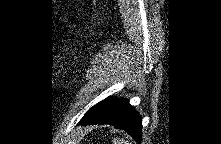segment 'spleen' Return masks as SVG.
Masks as SVG:
<instances>
[{
  "instance_id": "spleen-1",
  "label": "spleen",
  "mask_w": 221,
  "mask_h": 144,
  "mask_svg": "<svg viewBox=\"0 0 221 144\" xmlns=\"http://www.w3.org/2000/svg\"><path fill=\"white\" fill-rule=\"evenodd\" d=\"M112 142L113 144H130L128 141L119 138H114Z\"/></svg>"
}]
</instances>
